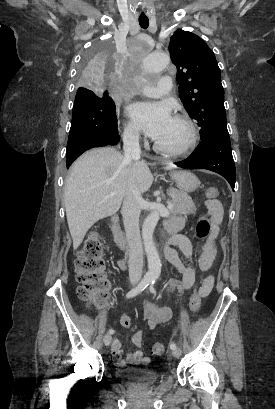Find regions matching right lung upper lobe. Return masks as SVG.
<instances>
[{
	"instance_id": "1",
	"label": "right lung upper lobe",
	"mask_w": 275,
	"mask_h": 409,
	"mask_svg": "<svg viewBox=\"0 0 275 409\" xmlns=\"http://www.w3.org/2000/svg\"><path fill=\"white\" fill-rule=\"evenodd\" d=\"M77 92H92L91 90H78ZM103 96H108L107 90L104 91Z\"/></svg>"
}]
</instances>
